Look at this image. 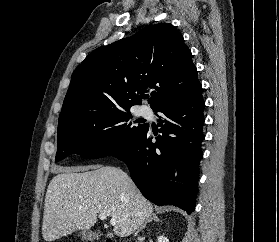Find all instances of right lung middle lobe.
<instances>
[{
  "label": "right lung middle lobe",
  "instance_id": "dd1d6c3e",
  "mask_svg": "<svg viewBox=\"0 0 279 242\" xmlns=\"http://www.w3.org/2000/svg\"><path fill=\"white\" fill-rule=\"evenodd\" d=\"M146 128V124L135 126L129 111L58 124L55 161L71 154L84 158L114 156L128 147Z\"/></svg>",
  "mask_w": 279,
  "mask_h": 242
}]
</instances>
